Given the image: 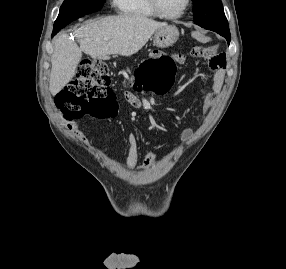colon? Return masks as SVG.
Wrapping results in <instances>:
<instances>
[{
    "label": "colon",
    "mask_w": 286,
    "mask_h": 269,
    "mask_svg": "<svg viewBox=\"0 0 286 269\" xmlns=\"http://www.w3.org/2000/svg\"><path fill=\"white\" fill-rule=\"evenodd\" d=\"M204 47H196L200 52ZM149 59L138 69L143 88L164 93L174 83L175 60L164 49H150ZM57 106L67 121L84 115L99 119L114 117L118 111L116 97L110 86L108 65L97 59L85 58L78 68V77L66 85L57 97Z\"/></svg>",
    "instance_id": "colon-1"
}]
</instances>
